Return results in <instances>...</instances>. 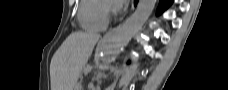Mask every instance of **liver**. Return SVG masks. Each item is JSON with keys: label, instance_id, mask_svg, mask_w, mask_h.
Returning <instances> with one entry per match:
<instances>
[{"label": "liver", "instance_id": "obj_1", "mask_svg": "<svg viewBox=\"0 0 228 90\" xmlns=\"http://www.w3.org/2000/svg\"><path fill=\"white\" fill-rule=\"evenodd\" d=\"M99 38V34L81 31L73 32L66 38L51 60V90H75Z\"/></svg>", "mask_w": 228, "mask_h": 90}]
</instances>
